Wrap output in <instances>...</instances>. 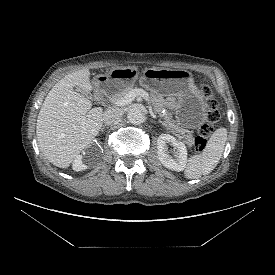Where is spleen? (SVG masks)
<instances>
[{
  "mask_svg": "<svg viewBox=\"0 0 275 275\" xmlns=\"http://www.w3.org/2000/svg\"><path fill=\"white\" fill-rule=\"evenodd\" d=\"M227 141V129L218 128L210 137L202 154L191 156L185 169L188 179H197L211 173L217 166Z\"/></svg>",
  "mask_w": 275,
  "mask_h": 275,
  "instance_id": "1",
  "label": "spleen"
}]
</instances>
